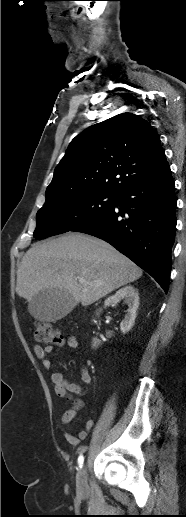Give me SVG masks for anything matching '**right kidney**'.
<instances>
[{
	"instance_id": "right-kidney-1",
	"label": "right kidney",
	"mask_w": 186,
	"mask_h": 517,
	"mask_svg": "<svg viewBox=\"0 0 186 517\" xmlns=\"http://www.w3.org/2000/svg\"><path fill=\"white\" fill-rule=\"evenodd\" d=\"M120 300H124V303L128 305L127 313L120 323V330L122 333H127L132 328L136 318V311L139 306V295L137 290L129 285L119 289L114 295L107 298L104 302V306L115 305ZM98 314V313H97ZM100 341L96 338L93 339V347H97Z\"/></svg>"
}]
</instances>
